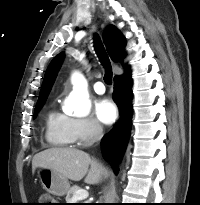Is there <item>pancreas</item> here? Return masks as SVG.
I'll use <instances>...</instances> for the list:
<instances>
[{"mask_svg":"<svg viewBox=\"0 0 200 205\" xmlns=\"http://www.w3.org/2000/svg\"><path fill=\"white\" fill-rule=\"evenodd\" d=\"M78 190H81V188L79 186H72L68 192H67V196H66V203H74L73 202V196L75 195V193L78 191ZM75 203H78V202H75Z\"/></svg>","mask_w":200,"mask_h":205,"instance_id":"pancreas-1","label":"pancreas"}]
</instances>
